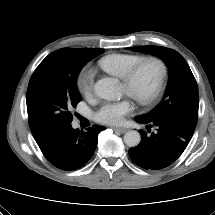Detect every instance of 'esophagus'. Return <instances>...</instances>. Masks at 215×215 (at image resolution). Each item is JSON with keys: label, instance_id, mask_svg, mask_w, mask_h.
<instances>
[{"label": "esophagus", "instance_id": "esophagus-1", "mask_svg": "<svg viewBox=\"0 0 215 215\" xmlns=\"http://www.w3.org/2000/svg\"><path fill=\"white\" fill-rule=\"evenodd\" d=\"M113 130L119 131V132H121V133H125V132L128 131V129H127V128H124V127H114Z\"/></svg>", "mask_w": 215, "mask_h": 215}]
</instances>
